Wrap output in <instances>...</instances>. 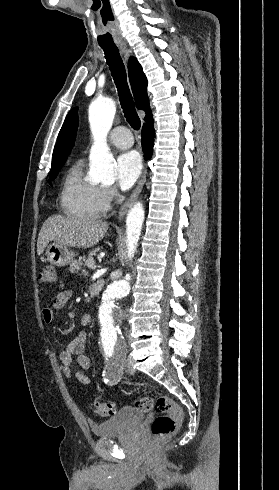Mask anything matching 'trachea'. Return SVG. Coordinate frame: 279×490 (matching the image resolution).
<instances>
[{
	"instance_id": "trachea-1",
	"label": "trachea",
	"mask_w": 279,
	"mask_h": 490,
	"mask_svg": "<svg viewBox=\"0 0 279 490\" xmlns=\"http://www.w3.org/2000/svg\"><path fill=\"white\" fill-rule=\"evenodd\" d=\"M102 48L105 53V58L109 65L116 88L118 90V95L120 97V102L123 108L124 115L130 126L134 130H139L141 127V121L135 110L132 95L127 84L125 66L120 57L119 50L116 46Z\"/></svg>"
}]
</instances>
